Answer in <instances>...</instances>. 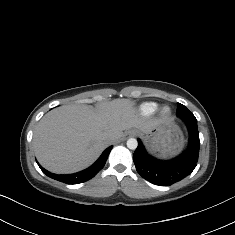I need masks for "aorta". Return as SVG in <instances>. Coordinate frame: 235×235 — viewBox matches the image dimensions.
<instances>
[{"label": "aorta", "mask_w": 235, "mask_h": 235, "mask_svg": "<svg viewBox=\"0 0 235 235\" xmlns=\"http://www.w3.org/2000/svg\"><path fill=\"white\" fill-rule=\"evenodd\" d=\"M137 146H138V142H137V140L135 138H129L127 140V147L129 149L134 150V149L137 148Z\"/></svg>", "instance_id": "obj_1"}]
</instances>
